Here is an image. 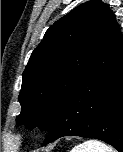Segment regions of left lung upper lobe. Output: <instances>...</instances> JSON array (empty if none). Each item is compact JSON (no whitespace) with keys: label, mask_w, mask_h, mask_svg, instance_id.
I'll list each match as a JSON object with an SVG mask.
<instances>
[{"label":"left lung upper lobe","mask_w":123,"mask_h":152,"mask_svg":"<svg viewBox=\"0 0 123 152\" xmlns=\"http://www.w3.org/2000/svg\"><path fill=\"white\" fill-rule=\"evenodd\" d=\"M116 27L113 12L100 0L79 5L50 26L23 72L17 125L49 132L59 105Z\"/></svg>","instance_id":"5c2ea615"}]
</instances>
